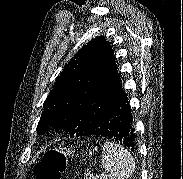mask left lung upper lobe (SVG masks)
Wrapping results in <instances>:
<instances>
[{"mask_svg": "<svg viewBox=\"0 0 183 179\" xmlns=\"http://www.w3.org/2000/svg\"><path fill=\"white\" fill-rule=\"evenodd\" d=\"M120 87L110 44L103 37L92 39L57 77L37 130L42 134L55 127L71 136L90 135L114 106Z\"/></svg>", "mask_w": 183, "mask_h": 179, "instance_id": "1", "label": "left lung upper lobe"}]
</instances>
